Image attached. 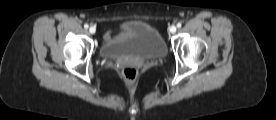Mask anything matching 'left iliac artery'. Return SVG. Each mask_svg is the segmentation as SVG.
<instances>
[{"label": "left iliac artery", "instance_id": "left-iliac-artery-1", "mask_svg": "<svg viewBox=\"0 0 276 120\" xmlns=\"http://www.w3.org/2000/svg\"><path fill=\"white\" fill-rule=\"evenodd\" d=\"M182 26V24L179 22L177 23V27L180 28Z\"/></svg>", "mask_w": 276, "mask_h": 120}]
</instances>
